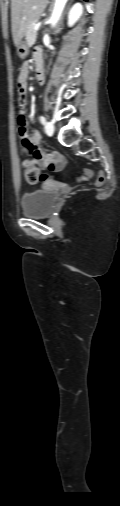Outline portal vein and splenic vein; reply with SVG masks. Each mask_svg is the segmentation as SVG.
<instances>
[{"label":"portal vein and splenic vein","instance_id":"1","mask_svg":"<svg viewBox=\"0 0 120 506\" xmlns=\"http://www.w3.org/2000/svg\"><path fill=\"white\" fill-rule=\"evenodd\" d=\"M40 24H41V23H38V24H36V25L34 26V30H35V31H38V30H39Z\"/></svg>","mask_w":120,"mask_h":506}]
</instances>
